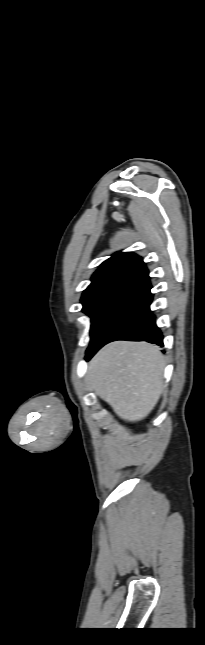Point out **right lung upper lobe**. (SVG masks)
Listing matches in <instances>:
<instances>
[{"instance_id":"cb5924a9","label":"right lung upper lobe","mask_w":205,"mask_h":645,"mask_svg":"<svg viewBox=\"0 0 205 645\" xmlns=\"http://www.w3.org/2000/svg\"><path fill=\"white\" fill-rule=\"evenodd\" d=\"M91 280L92 283L83 292V304L120 290L150 291L152 288L148 269L142 258L130 252H118L104 261Z\"/></svg>"}]
</instances>
